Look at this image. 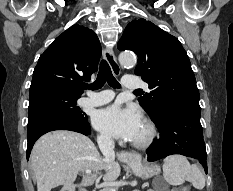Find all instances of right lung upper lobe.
<instances>
[{"label":"right lung upper lobe","instance_id":"1","mask_svg":"<svg viewBox=\"0 0 233 191\" xmlns=\"http://www.w3.org/2000/svg\"><path fill=\"white\" fill-rule=\"evenodd\" d=\"M102 48L97 35L75 24L58 36L38 60L29 98L45 92L80 97L82 81L97 70Z\"/></svg>","mask_w":233,"mask_h":191}]
</instances>
